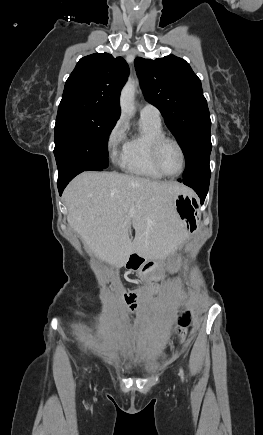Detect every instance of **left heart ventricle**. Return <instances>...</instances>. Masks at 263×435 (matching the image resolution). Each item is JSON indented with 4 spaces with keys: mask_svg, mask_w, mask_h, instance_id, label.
Returning <instances> with one entry per match:
<instances>
[{
    "mask_svg": "<svg viewBox=\"0 0 263 435\" xmlns=\"http://www.w3.org/2000/svg\"><path fill=\"white\" fill-rule=\"evenodd\" d=\"M160 163L169 174H176L181 170L182 158L177 146L171 142L165 143L160 151Z\"/></svg>",
    "mask_w": 263,
    "mask_h": 435,
    "instance_id": "obj_1",
    "label": "left heart ventricle"
}]
</instances>
